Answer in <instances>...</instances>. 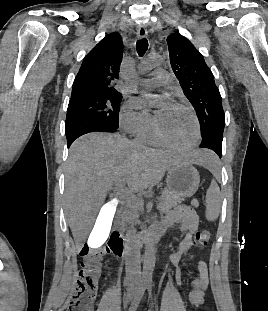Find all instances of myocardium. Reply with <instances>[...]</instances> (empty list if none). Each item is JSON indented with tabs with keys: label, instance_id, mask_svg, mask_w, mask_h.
<instances>
[{
	"label": "myocardium",
	"instance_id": "obj_1",
	"mask_svg": "<svg viewBox=\"0 0 268 311\" xmlns=\"http://www.w3.org/2000/svg\"><path fill=\"white\" fill-rule=\"evenodd\" d=\"M174 105L178 108L185 110L191 116L193 123H194V127H195V135H194L193 140L185 146H179V145H176V144L169 142L161 134L159 127H158V122H157L156 117L154 118V128H153L154 133H155L156 138L158 139V141L162 145H164L168 148L180 151V152H187V151L192 150L198 144V142L200 140V136H201L200 123H199V120H198L196 113L194 112V110L191 107H189L185 104H182V103H175Z\"/></svg>",
	"mask_w": 268,
	"mask_h": 311
}]
</instances>
